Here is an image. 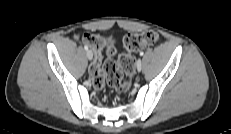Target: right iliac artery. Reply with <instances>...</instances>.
I'll list each match as a JSON object with an SVG mask.
<instances>
[{"mask_svg":"<svg viewBox=\"0 0 231 134\" xmlns=\"http://www.w3.org/2000/svg\"><path fill=\"white\" fill-rule=\"evenodd\" d=\"M84 49H85V50H88V46H87V45H85V46H84Z\"/></svg>","mask_w":231,"mask_h":134,"instance_id":"right-iliac-artery-1","label":"right iliac artery"}]
</instances>
